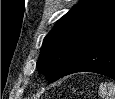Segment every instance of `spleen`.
Segmentation results:
<instances>
[{
  "instance_id": "spleen-1",
  "label": "spleen",
  "mask_w": 115,
  "mask_h": 99,
  "mask_svg": "<svg viewBox=\"0 0 115 99\" xmlns=\"http://www.w3.org/2000/svg\"><path fill=\"white\" fill-rule=\"evenodd\" d=\"M98 94L102 99H115V84L113 82L101 83Z\"/></svg>"
}]
</instances>
